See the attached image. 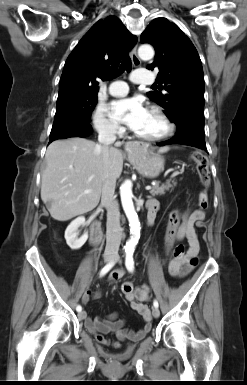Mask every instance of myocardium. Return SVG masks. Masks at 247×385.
Listing matches in <instances>:
<instances>
[{"label": "myocardium", "mask_w": 247, "mask_h": 385, "mask_svg": "<svg viewBox=\"0 0 247 385\" xmlns=\"http://www.w3.org/2000/svg\"><path fill=\"white\" fill-rule=\"evenodd\" d=\"M149 111L156 114L162 120L165 125L164 132L157 136H142L134 132V136L145 142H159L171 137L175 131V125L164 110L159 106L153 105L149 108Z\"/></svg>", "instance_id": "1"}]
</instances>
